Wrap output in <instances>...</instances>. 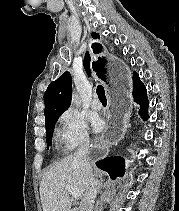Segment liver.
<instances>
[{
  "instance_id": "obj_1",
  "label": "liver",
  "mask_w": 179,
  "mask_h": 211,
  "mask_svg": "<svg viewBox=\"0 0 179 211\" xmlns=\"http://www.w3.org/2000/svg\"><path fill=\"white\" fill-rule=\"evenodd\" d=\"M80 192L81 201L87 190L84 174L73 155H68L53 165L40 182L43 211H71L72 201L66 186Z\"/></svg>"
}]
</instances>
